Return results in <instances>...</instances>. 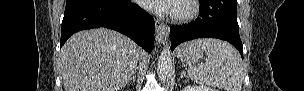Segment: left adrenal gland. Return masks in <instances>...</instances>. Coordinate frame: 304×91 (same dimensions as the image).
<instances>
[{
  "instance_id": "1",
  "label": "left adrenal gland",
  "mask_w": 304,
  "mask_h": 91,
  "mask_svg": "<svg viewBox=\"0 0 304 91\" xmlns=\"http://www.w3.org/2000/svg\"><path fill=\"white\" fill-rule=\"evenodd\" d=\"M184 77H187V78H188V76L186 75L185 70H183V71L181 72L180 79H181V78H184Z\"/></svg>"
}]
</instances>
